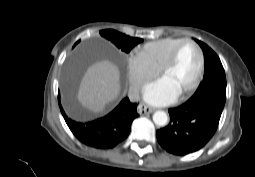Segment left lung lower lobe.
Here are the masks:
<instances>
[{"instance_id": "0a47b994", "label": "left lung lower lobe", "mask_w": 255, "mask_h": 177, "mask_svg": "<svg viewBox=\"0 0 255 177\" xmlns=\"http://www.w3.org/2000/svg\"><path fill=\"white\" fill-rule=\"evenodd\" d=\"M225 100L206 96L170 108L169 124L157 130L162 148L174 155H187L206 145L217 130Z\"/></svg>"}]
</instances>
